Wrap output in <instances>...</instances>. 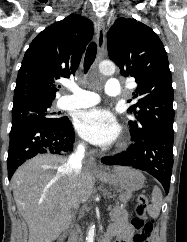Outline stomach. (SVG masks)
I'll return each instance as SVG.
<instances>
[{
  "label": "stomach",
  "instance_id": "obj_1",
  "mask_svg": "<svg viewBox=\"0 0 187 242\" xmlns=\"http://www.w3.org/2000/svg\"><path fill=\"white\" fill-rule=\"evenodd\" d=\"M97 178L109 185H113L119 190V201L126 203L132 194L141 189L144 185L145 178L143 174L133 168L124 167L121 171L108 174H97ZM117 220V218L115 219Z\"/></svg>",
  "mask_w": 187,
  "mask_h": 242
}]
</instances>
